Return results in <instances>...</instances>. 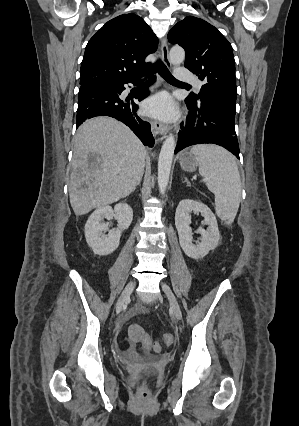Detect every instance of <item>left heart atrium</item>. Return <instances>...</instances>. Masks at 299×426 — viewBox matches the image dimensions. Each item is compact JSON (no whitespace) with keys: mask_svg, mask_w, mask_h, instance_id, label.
<instances>
[{"mask_svg":"<svg viewBox=\"0 0 299 426\" xmlns=\"http://www.w3.org/2000/svg\"><path fill=\"white\" fill-rule=\"evenodd\" d=\"M146 112L165 121H171L177 116L174 99L167 93H160L145 103Z\"/></svg>","mask_w":299,"mask_h":426,"instance_id":"left-heart-atrium-1","label":"left heart atrium"}]
</instances>
